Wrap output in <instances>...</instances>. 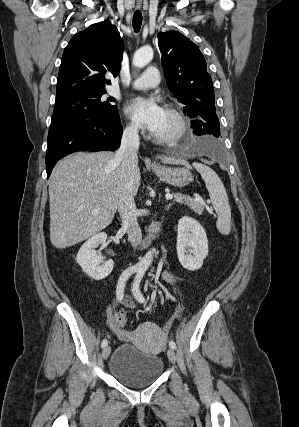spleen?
<instances>
[{"label":"spleen","instance_id":"1","mask_svg":"<svg viewBox=\"0 0 299 427\" xmlns=\"http://www.w3.org/2000/svg\"><path fill=\"white\" fill-rule=\"evenodd\" d=\"M194 168L201 174L208 190L212 205L218 215L216 226L223 235L231 230V209L225 187L215 171L201 163H193Z\"/></svg>","mask_w":299,"mask_h":427}]
</instances>
